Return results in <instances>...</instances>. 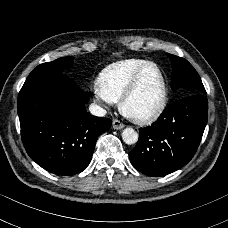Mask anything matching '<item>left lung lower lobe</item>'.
I'll use <instances>...</instances> for the list:
<instances>
[{"label":"left lung lower lobe","mask_w":228,"mask_h":228,"mask_svg":"<svg viewBox=\"0 0 228 228\" xmlns=\"http://www.w3.org/2000/svg\"><path fill=\"white\" fill-rule=\"evenodd\" d=\"M208 118V100L194 94L169 105L151 126L140 128L130 152L135 169L148 176H164L194 156Z\"/></svg>","instance_id":"0a47b994"}]
</instances>
